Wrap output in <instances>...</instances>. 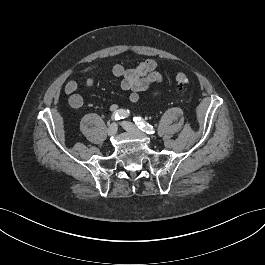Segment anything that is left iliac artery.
Here are the masks:
<instances>
[{"instance_id":"obj_1","label":"left iliac artery","mask_w":265,"mask_h":265,"mask_svg":"<svg viewBox=\"0 0 265 265\" xmlns=\"http://www.w3.org/2000/svg\"><path fill=\"white\" fill-rule=\"evenodd\" d=\"M133 121H135V124L137 127L146 132L147 134H154L155 130L153 129V126H151L149 123L145 122L141 117H134Z\"/></svg>"}]
</instances>
